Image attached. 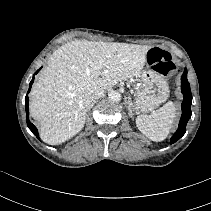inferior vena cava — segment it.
<instances>
[{
	"label": "inferior vena cava",
	"instance_id": "602c4592",
	"mask_svg": "<svg viewBox=\"0 0 211 211\" xmlns=\"http://www.w3.org/2000/svg\"><path fill=\"white\" fill-rule=\"evenodd\" d=\"M104 93H105V91L102 90V89L96 90V91L93 93V95H92L93 101H94L95 99H96V100L99 99L101 96L104 95Z\"/></svg>",
	"mask_w": 211,
	"mask_h": 211
}]
</instances>
